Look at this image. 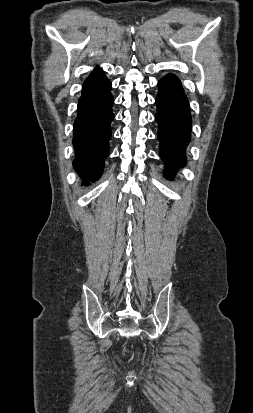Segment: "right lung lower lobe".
Here are the masks:
<instances>
[{
    "mask_svg": "<svg viewBox=\"0 0 253 413\" xmlns=\"http://www.w3.org/2000/svg\"><path fill=\"white\" fill-rule=\"evenodd\" d=\"M111 87V82L100 70L83 84L78 100L73 128V166L83 179V185H89L101 176L104 159L109 153L110 124L114 118Z\"/></svg>",
    "mask_w": 253,
    "mask_h": 413,
    "instance_id": "obj_1",
    "label": "right lung lower lobe"
}]
</instances>
